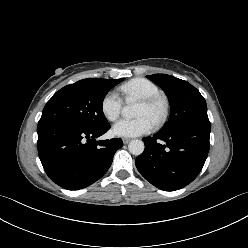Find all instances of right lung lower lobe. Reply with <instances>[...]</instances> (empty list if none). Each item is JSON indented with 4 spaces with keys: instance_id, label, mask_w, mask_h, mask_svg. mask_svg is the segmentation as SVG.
<instances>
[{
    "instance_id": "1",
    "label": "right lung lower lobe",
    "mask_w": 248,
    "mask_h": 248,
    "mask_svg": "<svg viewBox=\"0 0 248 248\" xmlns=\"http://www.w3.org/2000/svg\"><path fill=\"white\" fill-rule=\"evenodd\" d=\"M109 129V124L86 128L63 120L39 122L37 148L49 178L68 190L85 188L100 179L123 146L120 138L96 141Z\"/></svg>"
}]
</instances>
